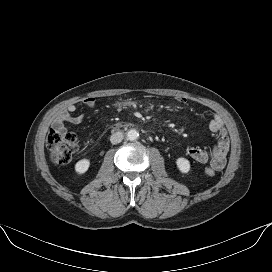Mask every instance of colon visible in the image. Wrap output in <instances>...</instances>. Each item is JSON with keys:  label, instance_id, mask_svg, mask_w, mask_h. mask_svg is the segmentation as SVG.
Returning <instances> with one entry per match:
<instances>
[{"label": "colon", "instance_id": "obj_1", "mask_svg": "<svg viewBox=\"0 0 272 272\" xmlns=\"http://www.w3.org/2000/svg\"><path fill=\"white\" fill-rule=\"evenodd\" d=\"M51 160L57 165L68 163L77 150V138L73 133H61L55 129H50L46 139ZM204 172L207 176H214L215 170L206 167Z\"/></svg>", "mask_w": 272, "mask_h": 272}]
</instances>
